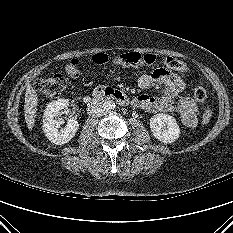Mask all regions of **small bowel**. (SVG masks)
Returning <instances> with one entry per match:
<instances>
[{"label":"small bowel","mask_w":233,"mask_h":233,"mask_svg":"<svg viewBox=\"0 0 233 233\" xmlns=\"http://www.w3.org/2000/svg\"><path fill=\"white\" fill-rule=\"evenodd\" d=\"M154 83L164 86L163 95L152 97L140 94L135 98L134 104L151 113L176 112L186 127H195L197 125L198 101L190 97H180L185 88L184 80L164 67L156 68L150 74H143L138 79V85L142 89H147Z\"/></svg>","instance_id":"obj_1"}]
</instances>
